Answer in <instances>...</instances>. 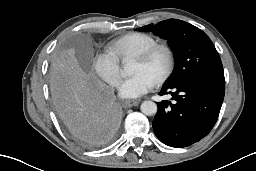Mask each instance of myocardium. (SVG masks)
<instances>
[{"label": "myocardium", "instance_id": "obj_1", "mask_svg": "<svg viewBox=\"0 0 256 171\" xmlns=\"http://www.w3.org/2000/svg\"><path fill=\"white\" fill-rule=\"evenodd\" d=\"M163 54L166 59V65L162 74L156 79L155 85L161 86L172 75L175 67V57L172 49L164 44H156L151 48L138 53L134 58L143 63H148L153 60L157 55Z\"/></svg>", "mask_w": 256, "mask_h": 171}]
</instances>
